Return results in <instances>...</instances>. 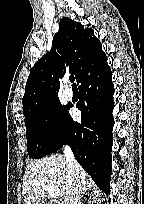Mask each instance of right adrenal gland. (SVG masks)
<instances>
[{
    "mask_svg": "<svg viewBox=\"0 0 144 204\" xmlns=\"http://www.w3.org/2000/svg\"><path fill=\"white\" fill-rule=\"evenodd\" d=\"M88 190H90V187H89V186L83 187V190H82V193H81V194H85ZM82 197H83L82 195L79 197L78 204H81V203H80V199H81Z\"/></svg>",
    "mask_w": 144,
    "mask_h": 204,
    "instance_id": "2a0ac1e0",
    "label": "right adrenal gland"
}]
</instances>
